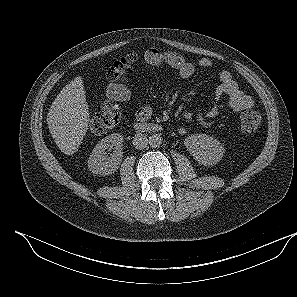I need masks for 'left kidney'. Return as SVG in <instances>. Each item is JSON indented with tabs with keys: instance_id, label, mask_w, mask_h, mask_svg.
<instances>
[{
	"instance_id": "5707ae66",
	"label": "left kidney",
	"mask_w": 297,
	"mask_h": 297,
	"mask_svg": "<svg viewBox=\"0 0 297 297\" xmlns=\"http://www.w3.org/2000/svg\"><path fill=\"white\" fill-rule=\"evenodd\" d=\"M184 145L194 159L204 166L217 164L225 153L223 145L207 134H193L184 140Z\"/></svg>"
}]
</instances>
